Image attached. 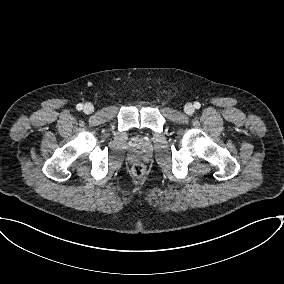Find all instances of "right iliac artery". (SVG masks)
<instances>
[{
	"mask_svg": "<svg viewBox=\"0 0 284 284\" xmlns=\"http://www.w3.org/2000/svg\"><path fill=\"white\" fill-rule=\"evenodd\" d=\"M82 108H83V105H82V104H77V106H76V109H77V110H82Z\"/></svg>",
	"mask_w": 284,
	"mask_h": 284,
	"instance_id": "obj_1",
	"label": "right iliac artery"
}]
</instances>
